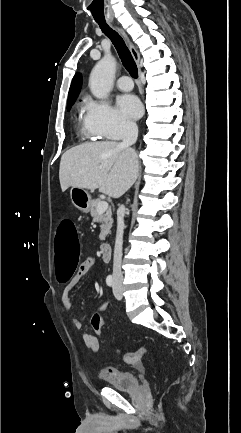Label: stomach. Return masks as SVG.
Listing matches in <instances>:
<instances>
[{"mask_svg":"<svg viewBox=\"0 0 241 433\" xmlns=\"http://www.w3.org/2000/svg\"><path fill=\"white\" fill-rule=\"evenodd\" d=\"M72 204L80 211L87 213L90 210L92 199L89 192L82 188L72 187L70 190Z\"/></svg>","mask_w":241,"mask_h":433,"instance_id":"0dacf381","label":"stomach"}]
</instances>
